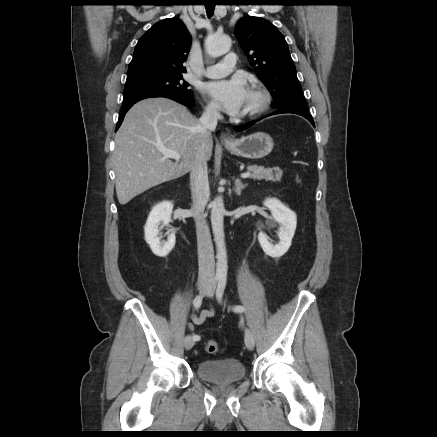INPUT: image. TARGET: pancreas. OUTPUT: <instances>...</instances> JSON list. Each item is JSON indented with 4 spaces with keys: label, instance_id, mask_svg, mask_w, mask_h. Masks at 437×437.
I'll list each match as a JSON object with an SVG mask.
<instances>
[{
    "label": "pancreas",
    "instance_id": "1",
    "mask_svg": "<svg viewBox=\"0 0 437 437\" xmlns=\"http://www.w3.org/2000/svg\"><path fill=\"white\" fill-rule=\"evenodd\" d=\"M247 170L251 172L250 178L255 180H266V181H281L283 172L279 167L274 168H264L263 166L249 165Z\"/></svg>",
    "mask_w": 437,
    "mask_h": 437
}]
</instances>
